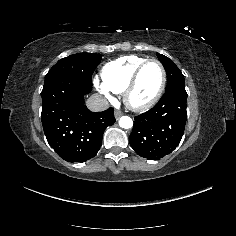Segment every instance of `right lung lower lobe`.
Instances as JSON below:
<instances>
[{"mask_svg": "<svg viewBox=\"0 0 236 236\" xmlns=\"http://www.w3.org/2000/svg\"><path fill=\"white\" fill-rule=\"evenodd\" d=\"M92 85L72 77H62L44 84L41 92V120L49 145L68 162L93 158L102 144V135L116 121L114 109L91 112L84 105V95Z\"/></svg>", "mask_w": 236, "mask_h": 236, "instance_id": "obj_1", "label": "right lung lower lobe"}]
</instances>
